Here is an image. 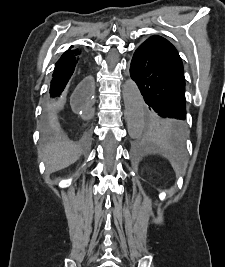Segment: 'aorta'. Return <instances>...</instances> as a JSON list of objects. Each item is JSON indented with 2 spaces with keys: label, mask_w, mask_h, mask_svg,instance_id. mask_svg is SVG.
I'll use <instances>...</instances> for the list:
<instances>
[{
  "label": "aorta",
  "mask_w": 225,
  "mask_h": 267,
  "mask_svg": "<svg viewBox=\"0 0 225 267\" xmlns=\"http://www.w3.org/2000/svg\"><path fill=\"white\" fill-rule=\"evenodd\" d=\"M123 98L128 125V133L131 138L138 137L144 127L145 105L143 97L132 80H127L123 85Z\"/></svg>",
  "instance_id": "obj_1"
}]
</instances>
